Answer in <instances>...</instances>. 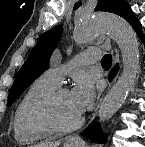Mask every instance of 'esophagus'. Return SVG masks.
Listing matches in <instances>:
<instances>
[{
    "instance_id": "esophagus-1",
    "label": "esophagus",
    "mask_w": 145,
    "mask_h": 147,
    "mask_svg": "<svg viewBox=\"0 0 145 147\" xmlns=\"http://www.w3.org/2000/svg\"><path fill=\"white\" fill-rule=\"evenodd\" d=\"M112 52L114 54L113 64L115 66L119 62V55H118V52L115 47L112 48ZM96 111H97V108H96L95 112L93 113L91 120L94 118ZM68 141L69 142H78V141H81V138L79 135H74V136L70 137L68 139Z\"/></svg>"
}]
</instances>
